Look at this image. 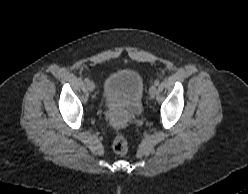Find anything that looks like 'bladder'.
Wrapping results in <instances>:
<instances>
[{"label": "bladder", "mask_w": 248, "mask_h": 194, "mask_svg": "<svg viewBox=\"0 0 248 194\" xmlns=\"http://www.w3.org/2000/svg\"><path fill=\"white\" fill-rule=\"evenodd\" d=\"M143 91L144 81L139 71L122 68L106 78L102 98L106 104L123 98L128 102V111L136 115L143 109Z\"/></svg>", "instance_id": "obj_1"}]
</instances>
